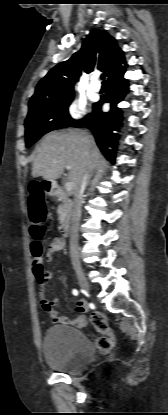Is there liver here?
<instances>
[{"instance_id": "obj_1", "label": "liver", "mask_w": 168, "mask_h": 415, "mask_svg": "<svg viewBox=\"0 0 168 415\" xmlns=\"http://www.w3.org/2000/svg\"><path fill=\"white\" fill-rule=\"evenodd\" d=\"M101 159L94 139L81 129H63L48 133L37 148L32 176L54 181L70 167L68 180L73 192L87 169L93 171Z\"/></svg>"}]
</instances>
